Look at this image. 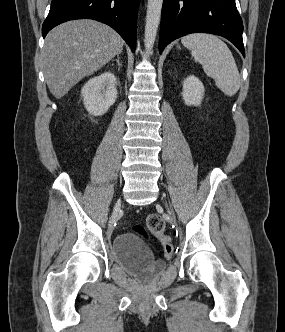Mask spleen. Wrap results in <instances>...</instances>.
<instances>
[{"label": "spleen", "mask_w": 285, "mask_h": 332, "mask_svg": "<svg viewBox=\"0 0 285 332\" xmlns=\"http://www.w3.org/2000/svg\"><path fill=\"white\" fill-rule=\"evenodd\" d=\"M191 51L196 62L203 65L207 76L215 80L216 86L228 96L240 88V75L235 59L228 46L217 36L207 33H193L181 39Z\"/></svg>", "instance_id": "3e777b00"}]
</instances>
